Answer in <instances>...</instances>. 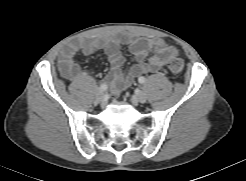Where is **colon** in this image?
Listing matches in <instances>:
<instances>
[{
    "mask_svg": "<svg viewBox=\"0 0 246 181\" xmlns=\"http://www.w3.org/2000/svg\"><path fill=\"white\" fill-rule=\"evenodd\" d=\"M185 62L178 56H171L168 62V68L173 74H180L184 69Z\"/></svg>",
    "mask_w": 246,
    "mask_h": 181,
    "instance_id": "1",
    "label": "colon"
}]
</instances>
